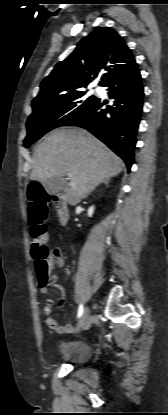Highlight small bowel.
Segmentation results:
<instances>
[{
	"label": "small bowel",
	"instance_id": "1",
	"mask_svg": "<svg viewBox=\"0 0 168 415\" xmlns=\"http://www.w3.org/2000/svg\"><path fill=\"white\" fill-rule=\"evenodd\" d=\"M52 254H53L55 263L58 266H63L64 265V257L62 255L61 250L59 248H55L52 251ZM52 278L55 281L57 279V276L54 275ZM55 286L61 292V300L59 302V307L62 308L65 304V292H64V289L61 286H59V285H55ZM40 293L43 294V295H46L48 293L47 286H41L40 287ZM43 313L46 317L45 321H46V324L49 328L54 329L58 332H65V331H68V330L72 329V327L70 325H68V324L67 325L59 324L54 319V317L52 316V301L51 300L46 301V304L43 307Z\"/></svg>",
	"mask_w": 168,
	"mask_h": 415
}]
</instances>
